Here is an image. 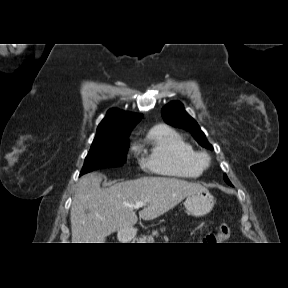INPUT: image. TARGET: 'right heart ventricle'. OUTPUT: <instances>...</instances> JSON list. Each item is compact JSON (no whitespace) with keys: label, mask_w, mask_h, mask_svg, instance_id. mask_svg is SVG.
I'll return each instance as SVG.
<instances>
[{"label":"right heart ventricle","mask_w":288,"mask_h":288,"mask_svg":"<svg viewBox=\"0 0 288 288\" xmlns=\"http://www.w3.org/2000/svg\"><path fill=\"white\" fill-rule=\"evenodd\" d=\"M141 146L145 148L142 163L155 174L182 179H195L203 174L193 146L166 125L151 128Z\"/></svg>","instance_id":"1"}]
</instances>
